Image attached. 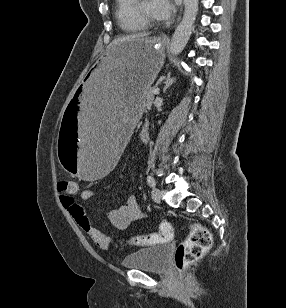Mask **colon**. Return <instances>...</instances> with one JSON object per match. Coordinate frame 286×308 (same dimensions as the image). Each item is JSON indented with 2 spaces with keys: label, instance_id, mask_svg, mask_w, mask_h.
I'll use <instances>...</instances> for the list:
<instances>
[{
  "label": "colon",
  "instance_id": "obj_1",
  "mask_svg": "<svg viewBox=\"0 0 286 308\" xmlns=\"http://www.w3.org/2000/svg\"><path fill=\"white\" fill-rule=\"evenodd\" d=\"M78 190V184L72 180H61L58 191L63 197L73 198ZM173 237L172 227L163 222L158 233L135 236L127 241L130 245L151 246L168 242ZM212 235L210 231L200 224L189 227V236L176 249L174 260L176 268L182 272L185 268L198 260L211 247Z\"/></svg>",
  "mask_w": 286,
  "mask_h": 308
}]
</instances>
